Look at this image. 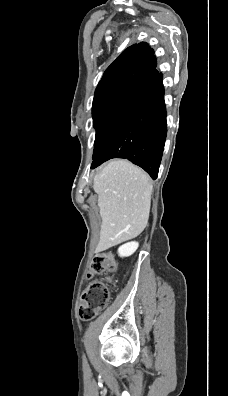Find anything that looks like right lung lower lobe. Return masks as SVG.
<instances>
[{"instance_id": "right-lung-lower-lobe-1", "label": "right lung lower lobe", "mask_w": 228, "mask_h": 396, "mask_svg": "<svg viewBox=\"0 0 228 396\" xmlns=\"http://www.w3.org/2000/svg\"><path fill=\"white\" fill-rule=\"evenodd\" d=\"M156 65L154 55L145 60L147 74L106 135L92 169L112 158H124L157 178L167 126L162 74Z\"/></svg>"}]
</instances>
